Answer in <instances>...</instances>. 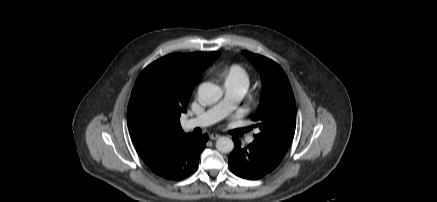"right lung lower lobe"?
<instances>
[{
  "label": "right lung lower lobe",
  "instance_id": "right-lung-lower-lobe-1",
  "mask_svg": "<svg viewBox=\"0 0 437 202\" xmlns=\"http://www.w3.org/2000/svg\"><path fill=\"white\" fill-rule=\"evenodd\" d=\"M208 135H185L178 144L162 155L151 170L169 180H179L191 175L199 163V155L206 147Z\"/></svg>",
  "mask_w": 437,
  "mask_h": 202
}]
</instances>
